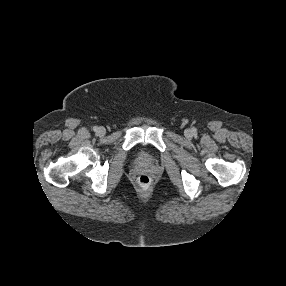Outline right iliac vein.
<instances>
[{
	"instance_id": "63e3f726",
	"label": "right iliac vein",
	"mask_w": 286,
	"mask_h": 286,
	"mask_svg": "<svg viewBox=\"0 0 286 286\" xmlns=\"http://www.w3.org/2000/svg\"><path fill=\"white\" fill-rule=\"evenodd\" d=\"M106 133V130L104 127H99L97 129V134L100 135V136H103L104 134Z\"/></svg>"
}]
</instances>
